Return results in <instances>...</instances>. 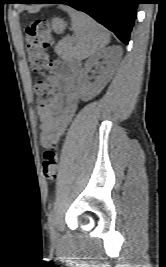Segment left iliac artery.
Instances as JSON below:
<instances>
[{"label":"left iliac artery","mask_w":166,"mask_h":267,"mask_svg":"<svg viewBox=\"0 0 166 267\" xmlns=\"http://www.w3.org/2000/svg\"><path fill=\"white\" fill-rule=\"evenodd\" d=\"M55 224V212L52 210L48 215V225L50 228Z\"/></svg>","instance_id":"44dca946"}]
</instances>
